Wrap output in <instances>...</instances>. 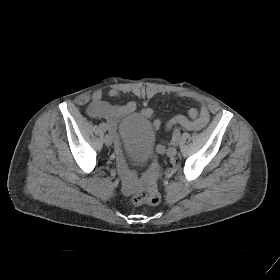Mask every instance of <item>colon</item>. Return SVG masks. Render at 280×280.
<instances>
[{"label":"colon","instance_id":"obj_1","mask_svg":"<svg viewBox=\"0 0 280 280\" xmlns=\"http://www.w3.org/2000/svg\"><path fill=\"white\" fill-rule=\"evenodd\" d=\"M160 175V166L156 158L152 159L149 169V181L145 191L133 195L130 199L133 205H157L161 200L160 193L157 188V179Z\"/></svg>","mask_w":280,"mask_h":280}]
</instances>
